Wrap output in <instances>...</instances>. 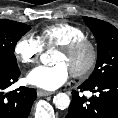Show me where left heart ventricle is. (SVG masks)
<instances>
[{"label": "left heart ventricle", "mask_w": 118, "mask_h": 118, "mask_svg": "<svg viewBox=\"0 0 118 118\" xmlns=\"http://www.w3.org/2000/svg\"><path fill=\"white\" fill-rule=\"evenodd\" d=\"M89 59L88 50H81L73 55H66L61 51H57L53 56V63H62L71 72L82 69Z\"/></svg>", "instance_id": "obj_1"}]
</instances>
